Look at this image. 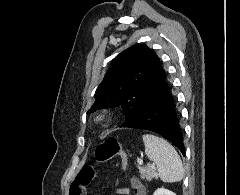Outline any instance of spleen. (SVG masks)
Wrapping results in <instances>:
<instances>
[{
    "label": "spleen",
    "instance_id": "1",
    "mask_svg": "<svg viewBox=\"0 0 240 195\" xmlns=\"http://www.w3.org/2000/svg\"><path fill=\"white\" fill-rule=\"evenodd\" d=\"M145 153L155 161L158 175L162 181H181L184 175L182 159L175 147L158 135L145 133L143 135Z\"/></svg>",
    "mask_w": 240,
    "mask_h": 195
}]
</instances>
